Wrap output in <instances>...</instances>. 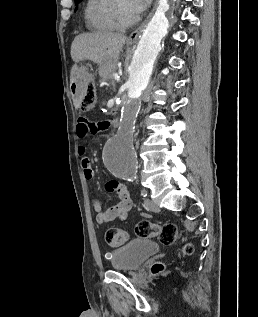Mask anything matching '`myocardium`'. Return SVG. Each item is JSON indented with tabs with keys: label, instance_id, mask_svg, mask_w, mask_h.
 <instances>
[{
	"label": "myocardium",
	"instance_id": "f54148a6",
	"mask_svg": "<svg viewBox=\"0 0 258 317\" xmlns=\"http://www.w3.org/2000/svg\"><path fill=\"white\" fill-rule=\"evenodd\" d=\"M126 8H130L134 10V14L132 15L131 19L128 21H126L122 15L123 10ZM111 18L116 29H123L125 27L136 25L140 19V15L138 10L135 9L134 5L130 1L118 0L112 9Z\"/></svg>",
	"mask_w": 258,
	"mask_h": 317
}]
</instances>
